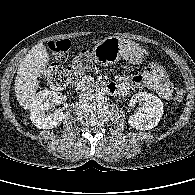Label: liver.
Here are the masks:
<instances>
[{
    "instance_id": "1",
    "label": "liver",
    "mask_w": 195,
    "mask_h": 195,
    "mask_svg": "<svg viewBox=\"0 0 195 195\" xmlns=\"http://www.w3.org/2000/svg\"><path fill=\"white\" fill-rule=\"evenodd\" d=\"M48 62L49 53L46 46L38 43L19 64L15 78V93L20 106L25 110L31 109L39 88L38 78L46 70Z\"/></svg>"
}]
</instances>
